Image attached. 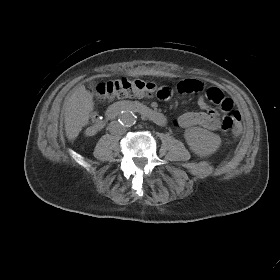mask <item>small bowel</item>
Returning <instances> with one entry per match:
<instances>
[{
  "label": "small bowel",
  "instance_id": "obj_1",
  "mask_svg": "<svg viewBox=\"0 0 280 280\" xmlns=\"http://www.w3.org/2000/svg\"><path fill=\"white\" fill-rule=\"evenodd\" d=\"M203 89V83L196 79H184L178 82L176 90L182 94H195L199 93ZM197 104L201 109L198 112H186L177 117L173 124L177 128L186 129L193 126H201L209 130L221 129V119L218 112L211 108L206 99L203 96H199ZM93 130H89L88 134H91Z\"/></svg>",
  "mask_w": 280,
  "mask_h": 280
}]
</instances>
